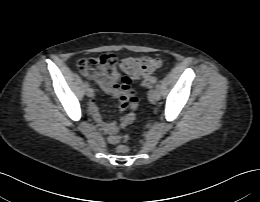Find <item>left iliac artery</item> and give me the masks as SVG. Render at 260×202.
Returning a JSON list of instances; mask_svg holds the SVG:
<instances>
[{
  "instance_id": "1",
  "label": "left iliac artery",
  "mask_w": 260,
  "mask_h": 202,
  "mask_svg": "<svg viewBox=\"0 0 260 202\" xmlns=\"http://www.w3.org/2000/svg\"><path fill=\"white\" fill-rule=\"evenodd\" d=\"M155 87H156V89L159 90L161 88V85L159 83H157Z\"/></svg>"
}]
</instances>
